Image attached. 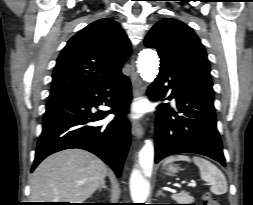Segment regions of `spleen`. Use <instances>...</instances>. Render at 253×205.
<instances>
[{
  "instance_id": "1",
  "label": "spleen",
  "mask_w": 253,
  "mask_h": 205,
  "mask_svg": "<svg viewBox=\"0 0 253 205\" xmlns=\"http://www.w3.org/2000/svg\"><path fill=\"white\" fill-rule=\"evenodd\" d=\"M173 161H193L199 168L201 179L210 185V191L213 194L220 195L227 192V181L221 170L210 161L194 156L190 158L186 155L170 156L164 164Z\"/></svg>"
}]
</instances>
